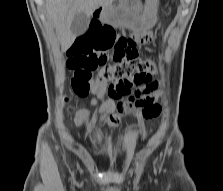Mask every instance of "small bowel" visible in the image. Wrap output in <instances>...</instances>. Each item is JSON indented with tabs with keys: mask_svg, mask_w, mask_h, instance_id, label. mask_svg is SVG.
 <instances>
[{
	"mask_svg": "<svg viewBox=\"0 0 223 191\" xmlns=\"http://www.w3.org/2000/svg\"><path fill=\"white\" fill-rule=\"evenodd\" d=\"M100 25V23H96L94 27L98 28ZM152 34V31H146L140 35L139 39L142 43L148 44L152 39ZM129 83L132 81L129 80ZM156 88L157 84L153 82L132 92V86L126 83L106 85L98 82L94 88L95 96L90 103L92 106H98L95 115L100 123L109 127H116L120 115L133 110L141 118L154 116L158 111V106L155 104V98L149 94L154 92ZM105 94H108V99H104ZM123 98L126 100H122ZM90 114V111L81 109L76 115V124L78 126L83 125Z\"/></svg>",
	"mask_w": 223,
	"mask_h": 191,
	"instance_id": "1",
	"label": "small bowel"
}]
</instances>
